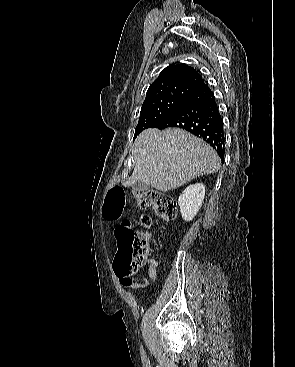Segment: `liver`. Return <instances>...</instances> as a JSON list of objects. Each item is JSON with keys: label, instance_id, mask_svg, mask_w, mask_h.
Segmentation results:
<instances>
[{"label": "liver", "instance_id": "6515ba94", "mask_svg": "<svg viewBox=\"0 0 295 367\" xmlns=\"http://www.w3.org/2000/svg\"><path fill=\"white\" fill-rule=\"evenodd\" d=\"M134 170L127 185L141 181L163 191L220 169L217 152L202 139L179 128L144 130L132 151Z\"/></svg>", "mask_w": 295, "mask_h": 367}]
</instances>
